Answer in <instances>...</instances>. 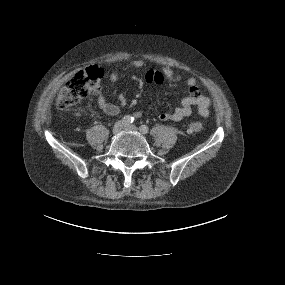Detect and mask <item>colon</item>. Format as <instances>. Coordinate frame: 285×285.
<instances>
[{
	"label": "colon",
	"mask_w": 285,
	"mask_h": 285,
	"mask_svg": "<svg viewBox=\"0 0 285 285\" xmlns=\"http://www.w3.org/2000/svg\"><path fill=\"white\" fill-rule=\"evenodd\" d=\"M102 70L96 65L88 66L76 73L61 89L56 98V107L65 110L79 104L89 95L96 94L100 90ZM75 115H79L75 112ZM202 129L199 122H191L187 126L189 133H197Z\"/></svg>",
	"instance_id": "obj_1"
}]
</instances>
